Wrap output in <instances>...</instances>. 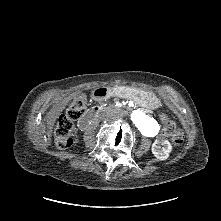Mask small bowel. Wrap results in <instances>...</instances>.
<instances>
[{"mask_svg": "<svg viewBox=\"0 0 221 221\" xmlns=\"http://www.w3.org/2000/svg\"><path fill=\"white\" fill-rule=\"evenodd\" d=\"M66 104V101H62L59 103L58 108H62Z\"/></svg>", "mask_w": 221, "mask_h": 221, "instance_id": "1", "label": "small bowel"}]
</instances>
